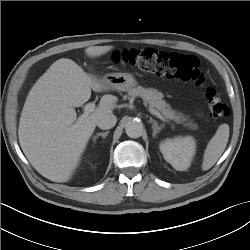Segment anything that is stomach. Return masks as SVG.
<instances>
[{"instance_id": "1", "label": "stomach", "mask_w": 250, "mask_h": 250, "mask_svg": "<svg viewBox=\"0 0 250 250\" xmlns=\"http://www.w3.org/2000/svg\"><path fill=\"white\" fill-rule=\"evenodd\" d=\"M102 82L112 90L130 91L137 85V81L130 73H110L102 78Z\"/></svg>"}]
</instances>
